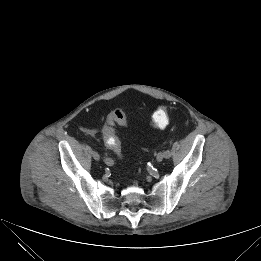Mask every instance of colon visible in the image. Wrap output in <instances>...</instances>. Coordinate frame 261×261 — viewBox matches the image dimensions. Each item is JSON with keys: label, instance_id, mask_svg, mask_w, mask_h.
I'll use <instances>...</instances> for the list:
<instances>
[{"label": "colon", "instance_id": "5ec220e1", "mask_svg": "<svg viewBox=\"0 0 261 261\" xmlns=\"http://www.w3.org/2000/svg\"><path fill=\"white\" fill-rule=\"evenodd\" d=\"M127 126L125 113L120 109L113 110L102 128L103 139L106 146L118 156L121 155V142L116 134L115 125ZM169 124V112L166 106H159L152 114L151 126L161 130Z\"/></svg>", "mask_w": 261, "mask_h": 261}]
</instances>
